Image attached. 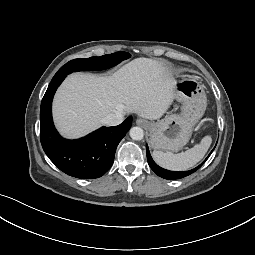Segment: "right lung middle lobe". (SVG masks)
<instances>
[{
    "instance_id": "dd1d6c3e",
    "label": "right lung middle lobe",
    "mask_w": 255,
    "mask_h": 255,
    "mask_svg": "<svg viewBox=\"0 0 255 255\" xmlns=\"http://www.w3.org/2000/svg\"><path fill=\"white\" fill-rule=\"evenodd\" d=\"M130 54L127 52H117L103 55L100 57H91L87 59H74L62 66L55 76L70 74L77 71L104 70L117 65L122 60L128 59ZM54 76V77H55Z\"/></svg>"
}]
</instances>
